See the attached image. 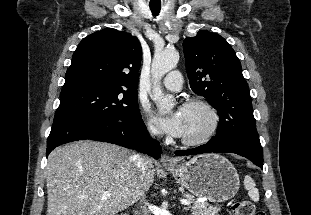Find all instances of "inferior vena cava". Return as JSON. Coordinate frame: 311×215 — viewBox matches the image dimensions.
Listing matches in <instances>:
<instances>
[{
  "instance_id": "inferior-vena-cava-1",
  "label": "inferior vena cava",
  "mask_w": 311,
  "mask_h": 215,
  "mask_svg": "<svg viewBox=\"0 0 311 215\" xmlns=\"http://www.w3.org/2000/svg\"><path fill=\"white\" fill-rule=\"evenodd\" d=\"M150 132L151 134H154V135L158 134V131L153 127L150 128ZM131 162L137 170H139L140 172H144L145 166L147 163V160L145 157H143L140 154H134L131 156ZM142 213L143 215H149V211L146 209H143Z\"/></svg>"
}]
</instances>
